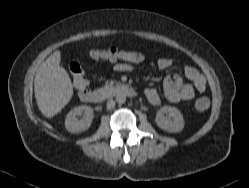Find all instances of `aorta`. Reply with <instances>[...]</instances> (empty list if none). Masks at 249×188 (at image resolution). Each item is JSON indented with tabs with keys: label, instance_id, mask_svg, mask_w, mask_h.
<instances>
[{
	"label": "aorta",
	"instance_id": "762f6f07",
	"mask_svg": "<svg viewBox=\"0 0 249 188\" xmlns=\"http://www.w3.org/2000/svg\"><path fill=\"white\" fill-rule=\"evenodd\" d=\"M116 101H117V103H119V104L125 103V101H126V95H125L124 93H118V94L116 95Z\"/></svg>",
	"mask_w": 249,
	"mask_h": 188
}]
</instances>
